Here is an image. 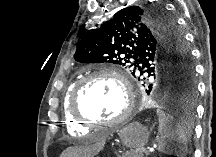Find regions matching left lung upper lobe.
<instances>
[{"label": "left lung upper lobe", "mask_w": 216, "mask_h": 157, "mask_svg": "<svg viewBox=\"0 0 216 157\" xmlns=\"http://www.w3.org/2000/svg\"><path fill=\"white\" fill-rule=\"evenodd\" d=\"M74 58L132 68L133 76L135 72L148 74L166 94L178 96L189 107L194 105L196 83L190 52L175 20L162 7L149 3L121 9L83 35ZM151 89L149 85L147 93Z\"/></svg>", "instance_id": "left-lung-upper-lobe-1"}]
</instances>
